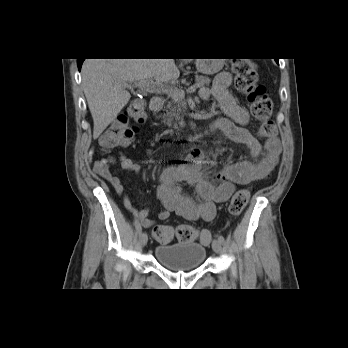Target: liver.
Wrapping results in <instances>:
<instances>
[{"label": "liver", "mask_w": 348, "mask_h": 348, "mask_svg": "<svg viewBox=\"0 0 348 348\" xmlns=\"http://www.w3.org/2000/svg\"><path fill=\"white\" fill-rule=\"evenodd\" d=\"M191 59H183L187 62ZM82 85L97 139L127 105L131 95L125 84L140 80L175 82L180 71L174 59H86Z\"/></svg>", "instance_id": "obj_1"}]
</instances>
